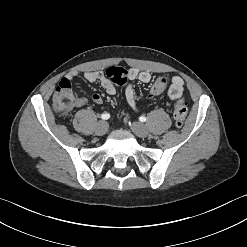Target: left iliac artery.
Masks as SVG:
<instances>
[{
    "label": "left iliac artery",
    "instance_id": "1",
    "mask_svg": "<svg viewBox=\"0 0 247 247\" xmlns=\"http://www.w3.org/2000/svg\"><path fill=\"white\" fill-rule=\"evenodd\" d=\"M139 120H140V122H145V121H146V117L141 116V117L139 118Z\"/></svg>",
    "mask_w": 247,
    "mask_h": 247
}]
</instances>
